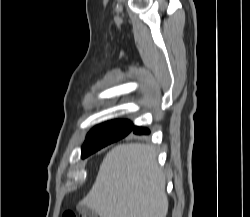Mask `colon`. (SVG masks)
<instances>
[{
    "label": "colon",
    "mask_w": 250,
    "mask_h": 217,
    "mask_svg": "<svg viewBox=\"0 0 250 217\" xmlns=\"http://www.w3.org/2000/svg\"><path fill=\"white\" fill-rule=\"evenodd\" d=\"M62 217H87V216L77 211L70 210V211L65 212Z\"/></svg>",
    "instance_id": "1"
}]
</instances>
